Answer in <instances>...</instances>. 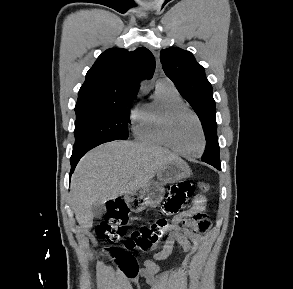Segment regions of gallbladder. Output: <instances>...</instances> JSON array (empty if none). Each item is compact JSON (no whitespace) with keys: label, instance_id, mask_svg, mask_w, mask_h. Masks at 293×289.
Here are the masks:
<instances>
[{"label":"gallbladder","instance_id":"obj_1","mask_svg":"<svg viewBox=\"0 0 293 289\" xmlns=\"http://www.w3.org/2000/svg\"><path fill=\"white\" fill-rule=\"evenodd\" d=\"M105 205L101 201H97L92 205V213L96 218H101L105 214Z\"/></svg>","mask_w":293,"mask_h":289}]
</instances>
